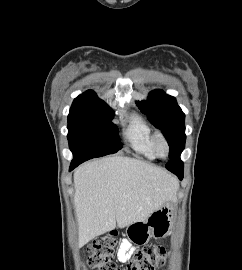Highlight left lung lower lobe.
<instances>
[{
    "label": "left lung lower lobe",
    "instance_id": "obj_1",
    "mask_svg": "<svg viewBox=\"0 0 242 270\" xmlns=\"http://www.w3.org/2000/svg\"><path fill=\"white\" fill-rule=\"evenodd\" d=\"M177 176H178V178H179L180 180H182L183 174H178Z\"/></svg>",
    "mask_w": 242,
    "mask_h": 270
}]
</instances>
